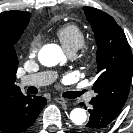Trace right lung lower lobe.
Segmentation results:
<instances>
[{
	"label": "right lung lower lobe",
	"mask_w": 133,
	"mask_h": 133,
	"mask_svg": "<svg viewBox=\"0 0 133 133\" xmlns=\"http://www.w3.org/2000/svg\"><path fill=\"white\" fill-rule=\"evenodd\" d=\"M46 105L43 97L25 96L22 92L12 96L0 109V132L20 133L35 122Z\"/></svg>",
	"instance_id": "right-lung-lower-lobe-1"
}]
</instances>
